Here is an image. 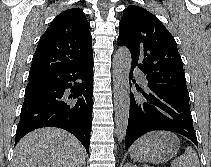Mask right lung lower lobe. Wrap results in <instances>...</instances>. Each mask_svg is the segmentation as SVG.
Segmentation results:
<instances>
[{
  "label": "right lung lower lobe",
  "instance_id": "right-lung-lower-lobe-1",
  "mask_svg": "<svg viewBox=\"0 0 211 167\" xmlns=\"http://www.w3.org/2000/svg\"><path fill=\"white\" fill-rule=\"evenodd\" d=\"M92 95L93 58L30 80L25 90L15 143L35 129L59 127L77 137L88 152Z\"/></svg>",
  "mask_w": 211,
  "mask_h": 167
}]
</instances>
